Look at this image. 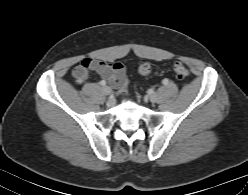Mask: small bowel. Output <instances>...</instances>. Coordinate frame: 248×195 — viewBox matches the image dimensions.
<instances>
[{"label": "small bowel", "mask_w": 248, "mask_h": 195, "mask_svg": "<svg viewBox=\"0 0 248 195\" xmlns=\"http://www.w3.org/2000/svg\"><path fill=\"white\" fill-rule=\"evenodd\" d=\"M89 61V67L84 69L82 64H79L74 68L73 76L78 83H83L89 79L91 72L98 74L105 82L108 83L113 89H118L119 84L126 77V71L123 64L119 62L111 63L104 60H91ZM84 70L83 76H77L75 72L77 70Z\"/></svg>", "instance_id": "small-bowel-1"}]
</instances>
